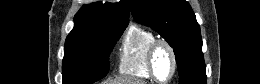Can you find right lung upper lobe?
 <instances>
[{
  "label": "right lung upper lobe",
  "mask_w": 260,
  "mask_h": 84,
  "mask_svg": "<svg viewBox=\"0 0 260 84\" xmlns=\"http://www.w3.org/2000/svg\"><path fill=\"white\" fill-rule=\"evenodd\" d=\"M129 22V10L126 0L118 3H91L83 5L75 15L74 28L66 43L90 40L101 30L108 27H126Z\"/></svg>",
  "instance_id": "1"
}]
</instances>
